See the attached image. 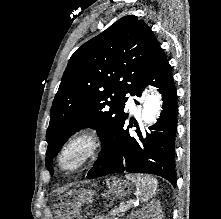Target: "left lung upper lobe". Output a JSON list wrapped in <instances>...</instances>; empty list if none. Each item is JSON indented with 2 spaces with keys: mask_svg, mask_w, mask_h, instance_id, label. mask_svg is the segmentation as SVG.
<instances>
[{
  "mask_svg": "<svg viewBox=\"0 0 221 219\" xmlns=\"http://www.w3.org/2000/svg\"><path fill=\"white\" fill-rule=\"evenodd\" d=\"M152 30L133 15L119 19L70 58L50 111L46 166L76 131L95 128L108 144L159 48Z\"/></svg>",
  "mask_w": 221,
  "mask_h": 219,
  "instance_id": "5c2ea615",
  "label": "left lung upper lobe"
}]
</instances>
